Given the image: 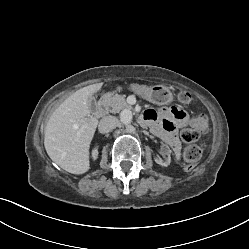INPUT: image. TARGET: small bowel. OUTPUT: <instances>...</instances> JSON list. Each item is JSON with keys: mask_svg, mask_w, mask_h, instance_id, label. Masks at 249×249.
<instances>
[{"mask_svg": "<svg viewBox=\"0 0 249 249\" xmlns=\"http://www.w3.org/2000/svg\"><path fill=\"white\" fill-rule=\"evenodd\" d=\"M144 121L172 148L176 155L180 152V143L176 132L189 124L187 113L178 107L161 108L158 111L148 109L143 113Z\"/></svg>", "mask_w": 249, "mask_h": 249, "instance_id": "c3829d8e", "label": "small bowel"}]
</instances>
